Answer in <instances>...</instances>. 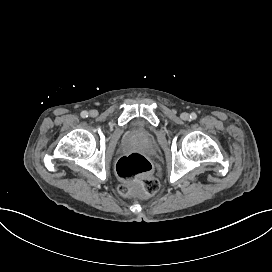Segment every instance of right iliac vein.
Listing matches in <instances>:
<instances>
[{
	"instance_id": "obj_1",
	"label": "right iliac vein",
	"mask_w": 272,
	"mask_h": 272,
	"mask_svg": "<svg viewBox=\"0 0 272 272\" xmlns=\"http://www.w3.org/2000/svg\"><path fill=\"white\" fill-rule=\"evenodd\" d=\"M90 115L91 116H96L97 115V111L96 110H91L90 111Z\"/></svg>"
}]
</instances>
